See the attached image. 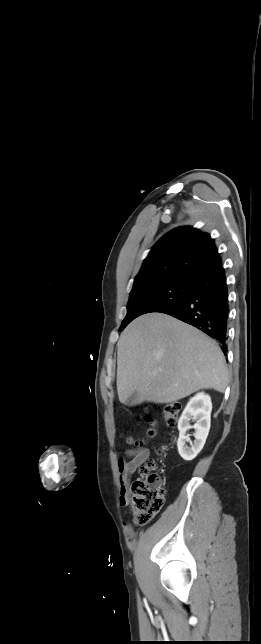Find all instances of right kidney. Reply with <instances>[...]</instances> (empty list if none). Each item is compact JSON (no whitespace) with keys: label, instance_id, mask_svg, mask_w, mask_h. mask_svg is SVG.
Returning a JSON list of instances; mask_svg holds the SVG:
<instances>
[{"label":"right kidney","instance_id":"obj_1","mask_svg":"<svg viewBox=\"0 0 261 644\" xmlns=\"http://www.w3.org/2000/svg\"><path fill=\"white\" fill-rule=\"evenodd\" d=\"M212 403L209 395L200 392L190 399L178 421L179 438L177 441L180 456L187 461L194 459L202 450L210 430ZM196 421L191 426L190 421ZM195 429L193 443L190 442L186 431ZM190 442V447L186 445Z\"/></svg>","mask_w":261,"mask_h":644}]
</instances>
